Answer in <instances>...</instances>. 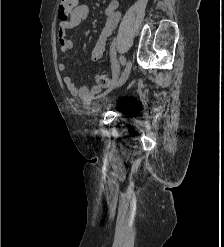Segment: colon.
Here are the masks:
<instances>
[{
	"label": "colon",
	"instance_id": "obj_1",
	"mask_svg": "<svg viewBox=\"0 0 224 247\" xmlns=\"http://www.w3.org/2000/svg\"><path fill=\"white\" fill-rule=\"evenodd\" d=\"M78 0H60L58 7V17L61 24L65 23L77 7ZM97 83L101 87H108L111 84V78L106 74L97 76Z\"/></svg>",
	"mask_w": 224,
	"mask_h": 247
}]
</instances>
